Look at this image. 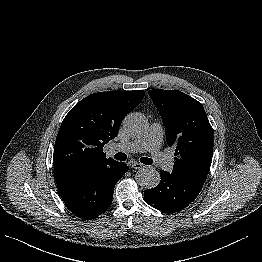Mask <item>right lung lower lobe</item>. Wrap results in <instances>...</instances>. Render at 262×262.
Wrapping results in <instances>:
<instances>
[{
	"instance_id": "right-lung-lower-lobe-1",
	"label": "right lung lower lobe",
	"mask_w": 262,
	"mask_h": 262,
	"mask_svg": "<svg viewBox=\"0 0 262 262\" xmlns=\"http://www.w3.org/2000/svg\"><path fill=\"white\" fill-rule=\"evenodd\" d=\"M127 171L128 166L119 162L74 177L56 178V183L67 208L79 218L91 220L109 208L114 186Z\"/></svg>"
}]
</instances>
